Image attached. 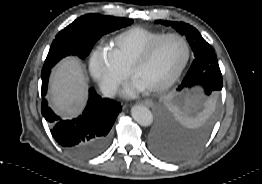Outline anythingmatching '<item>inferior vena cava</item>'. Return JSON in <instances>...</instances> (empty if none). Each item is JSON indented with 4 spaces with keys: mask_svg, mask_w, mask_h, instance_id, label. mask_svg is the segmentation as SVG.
Instances as JSON below:
<instances>
[{
    "mask_svg": "<svg viewBox=\"0 0 262 184\" xmlns=\"http://www.w3.org/2000/svg\"><path fill=\"white\" fill-rule=\"evenodd\" d=\"M101 91L105 97H113L118 91V86L116 84H104L101 87Z\"/></svg>",
    "mask_w": 262,
    "mask_h": 184,
    "instance_id": "inferior-vena-cava-1",
    "label": "inferior vena cava"
}]
</instances>
